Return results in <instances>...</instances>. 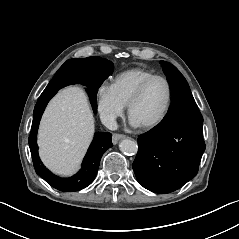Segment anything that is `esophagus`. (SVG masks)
<instances>
[{"mask_svg": "<svg viewBox=\"0 0 239 239\" xmlns=\"http://www.w3.org/2000/svg\"><path fill=\"white\" fill-rule=\"evenodd\" d=\"M126 136L124 134H119V133H114L113 134V137H112V142L113 144H117V142L122 139V138H125Z\"/></svg>", "mask_w": 239, "mask_h": 239, "instance_id": "obj_1", "label": "esophagus"}]
</instances>
